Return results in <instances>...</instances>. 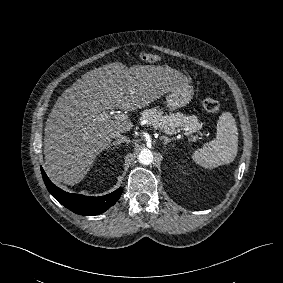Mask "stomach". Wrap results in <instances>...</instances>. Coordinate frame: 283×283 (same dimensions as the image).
I'll use <instances>...</instances> for the list:
<instances>
[{
	"mask_svg": "<svg viewBox=\"0 0 283 283\" xmlns=\"http://www.w3.org/2000/svg\"><path fill=\"white\" fill-rule=\"evenodd\" d=\"M194 90L186 80L179 81L166 96V104L170 110L187 105L193 98Z\"/></svg>",
	"mask_w": 283,
	"mask_h": 283,
	"instance_id": "1",
	"label": "stomach"
}]
</instances>
